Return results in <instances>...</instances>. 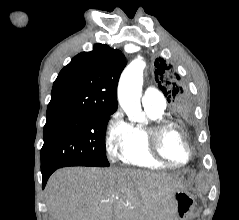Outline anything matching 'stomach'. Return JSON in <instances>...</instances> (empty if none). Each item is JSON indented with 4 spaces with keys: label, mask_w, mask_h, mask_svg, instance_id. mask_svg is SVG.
Segmentation results:
<instances>
[{
    "label": "stomach",
    "mask_w": 239,
    "mask_h": 220,
    "mask_svg": "<svg viewBox=\"0 0 239 220\" xmlns=\"http://www.w3.org/2000/svg\"><path fill=\"white\" fill-rule=\"evenodd\" d=\"M174 210L178 220H186L194 209L193 196L186 190L176 191L173 194Z\"/></svg>",
    "instance_id": "stomach-1"
}]
</instances>
